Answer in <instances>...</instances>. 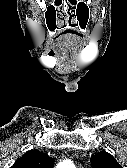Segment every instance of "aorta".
<instances>
[{
	"label": "aorta",
	"instance_id": "1",
	"mask_svg": "<svg viewBox=\"0 0 127 168\" xmlns=\"http://www.w3.org/2000/svg\"><path fill=\"white\" fill-rule=\"evenodd\" d=\"M56 168H75V166L71 161L65 160L61 162L60 164H58Z\"/></svg>",
	"mask_w": 127,
	"mask_h": 168
}]
</instances>
